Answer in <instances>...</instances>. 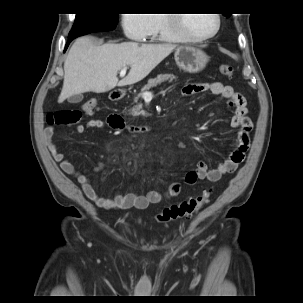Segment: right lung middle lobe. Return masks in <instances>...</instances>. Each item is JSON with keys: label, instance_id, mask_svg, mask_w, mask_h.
I'll return each mask as SVG.
<instances>
[{"label": "right lung middle lobe", "instance_id": "right-lung-middle-lobe-1", "mask_svg": "<svg viewBox=\"0 0 303 303\" xmlns=\"http://www.w3.org/2000/svg\"><path fill=\"white\" fill-rule=\"evenodd\" d=\"M119 19L118 13L77 14L69 37H78L102 28L114 29Z\"/></svg>", "mask_w": 303, "mask_h": 303}]
</instances>
